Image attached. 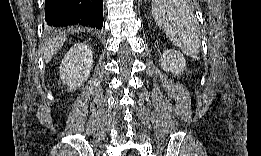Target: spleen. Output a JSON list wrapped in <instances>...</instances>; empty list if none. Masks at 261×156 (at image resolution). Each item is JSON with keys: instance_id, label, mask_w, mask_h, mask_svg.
<instances>
[{"instance_id": "obj_1", "label": "spleen", "mask_w": 261, "mask_h": 156, "mask_svg": "<svg viewBox=\"0 0 261 156\" xmlns=\"http://www.w3.org/2000/svg\"><path fill=\"white\" fill-rule=\"evenodd\" d=\"M152 15L159 28L185 55L200 51V34L195 13L186 1L155 0Z\"/></svg>"}]
</instances>
